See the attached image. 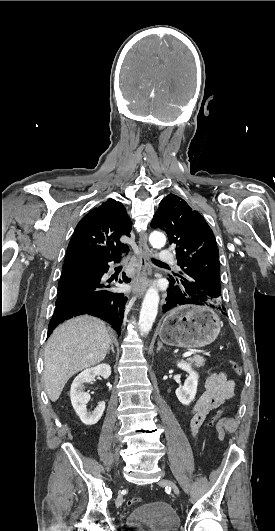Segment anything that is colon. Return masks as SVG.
<instances>
[{"label":"colon","mask_w":275,"mask_h":531,"mask_svg":"<svg viewBox=\"0 0 275 531\" xmlns=\"http://www.w3.org/2000/svg\"><path fill=\"white\" fill-rule=\"evenodd\" d=\"M232 369L234 370V372H236L237 374H241L242 373V366L239 364V362H236V361H233L232 362ZM222 419V414L221 412H215L213 414L212 417L209 418L208 420V423H209V427L211 429H214L219 421ZM140 502V498L139 497H133L131 498L129 501H128V505L129 506H132V505H135L137 503Z\"/></svg>","instance_id":"1"}]
</instances>
